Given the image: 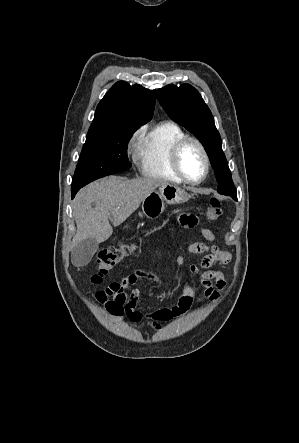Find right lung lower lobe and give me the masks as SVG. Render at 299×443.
<instances>
[{"mask_svg":"<svg viewBox=\"0 0 299 443\" xmlns=\"http://www.w3.org/2000/svg\"><path fill=\"white\" fill-rule=\"evenodd\" d=\"M77 192H78V189L71 190L72 199L74 198V196L76 195Z\"/></svg>","mask_w":299,"mask_h":443,"instance_id":"right-lung-lower-lobe-1","label":"right lung lower lobe"}]
</instances>
